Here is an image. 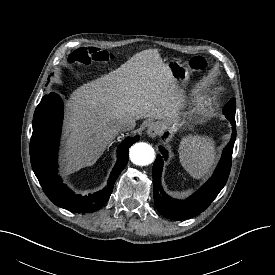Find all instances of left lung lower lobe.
I'll return each instance as SVG.
<instances>
[{
	"mask_svg": "<svg viewBox=\"0 0 275 275\" xmlns=\"http://www.w3.org/2000/svg\"><path fill=\"white\" fill-rule=\"evenodd\" d=\"M232 135L230 142L223 150L222 157L215 169L213 176L192 196L186 200H177L168 196L161 186V173L164 160H167V151L160 149L153 165V195L155 206L159 213L173 220H184L197 216L203 212L216 198L227 182L230 169L234 142L236 140V123L231 121ZM165 133L164 137H167Z\"/></svg>",
	"mask_w": 275,
	"mask_h": 275,
	"instance_id": "1",
	"label": "left lung lower lobe"
}]
</instances>
